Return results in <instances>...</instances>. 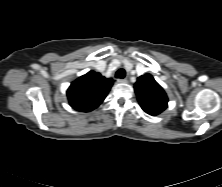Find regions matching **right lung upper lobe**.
<instances>
[{
	"instance_id": "right-lung-upper-lobe-1",
	"label": "right lung upper lobe",
	"mask_w": 222,
	"mask_h": 187,
	"mask_svg": "<svg viewBox=\"0 0 222 187\" xmlns=\"http://www.w3.org/2000/svg\"><path fill=\"white\" fill-rule=\"evenodd\" d=\"M112 85L111 78L89 71L71 83L67 90L69 103L77 111L90 112L103 102Z\"/></svg>"
}]
</instances>
